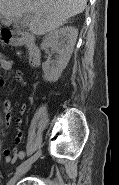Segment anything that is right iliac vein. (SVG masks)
I'll list each match as a JSON object with an SVG mask.
<instances>
[{
	"instance_id": "obj_1",
	"label": "right iliac vein",
	"mask_w": 119,
	"mask_h": 185,
	"mask_svg": "<svg viewBox=\"0 0 119 185\" xmlns=\"http://www.w3.org/2000/svg\"><path fill=\"white\" fill-rule=\"evenodd\" d=\"M31 164L26 165L24 168H22L20 171L16 173V175L8 182L7 185H15L16 182L31 168Z\"/></svg>"
}]
</instances>
